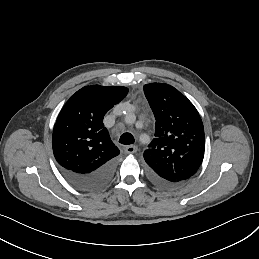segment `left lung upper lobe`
Instances as JSON below:
<instances>
[{
	"mask_svg": "<svg viewBox=\"0 0 259 259\" xmlns=\"http://www.w3.org/2000/svg\"><path fill=\"white\" fill-rule=\"evenodd\" d=\"M143 89L156 119L155 138L144 152L148 171L159 181L184 183L203 161L201 117L195 106L170 85L151 83Z\"/></svg>",
	"mask_w": 259,
	"mask_h": 259,
	"instance_id": "obj_1",
	"label": "left lung upper lobe"
}]
</instances>
